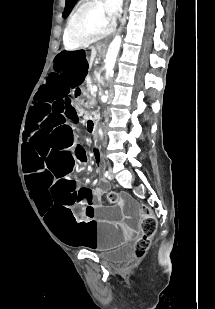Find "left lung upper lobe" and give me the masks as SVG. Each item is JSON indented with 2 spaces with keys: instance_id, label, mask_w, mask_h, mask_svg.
I'll use <instances>...</instances> for the list:
<instances>
[{
  "instance_id": "left-lung-upper-lobe-1",
  "label": "left lung upper lobe",
  "mask_w": 215,
  "mask_h": 309,
  "mask_svg": "<svg viewBox=\"0 0 215 309\" xmlns=\"http://www.w3.org/2000/svg\"><path fill=\"white\" fill-rule=\"evenodd\" d=\"M76 0H66V7H65V11H64V17H66L68 15V13L70 12L72 6H73V3L75 2Z\"/></svg>"
}]
</instances>
